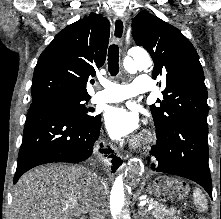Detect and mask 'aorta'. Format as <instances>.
Masks as SVG:
<instances>
[{
    "mask_svg": "<svg viewBox=\"0 0 221 219\" xmlns=\"http://www.w3.org/2000/svg\"><path fill=\"white\" fill-rule=\"evenodd\" d=\"M124 68L129 73L146 69L152 66L148 53L142 49H132L124 59ZM140 167H133L127 175L120 174L112 187L111 212L113 219H130L128 204L131 200V193L136 185Z\"/></svg>",
    "mask_w": 221,
    "mask_h": 219,
    "instance_id": "obj_1",
    "label": "aorta"
}]
</instances>
